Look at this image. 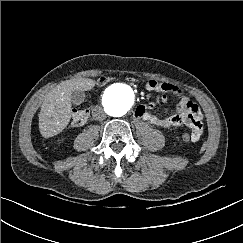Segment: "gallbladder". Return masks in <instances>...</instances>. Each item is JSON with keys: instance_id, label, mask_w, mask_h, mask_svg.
I'll return each mask as SVG.
<instances>
[{"instance_id": "gallbladder-1", "label": "gallbladder", "mask_w": 243, "mask_h": 243, "mask_svg": "<svg viewBox=\"0 0 243 243\" xmlns=\"http://www.w3.org/2000/svg\"><path fill=\"white\" fill-rule=\"evenodd\" d=\"M84 100V94L82 91H74L71 95V101L73 104H80Z\"/></svg>"}]
</instances>
